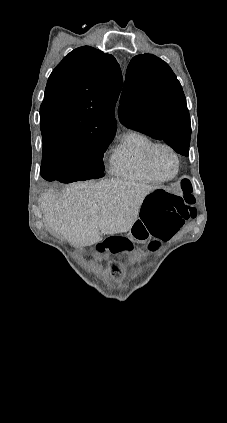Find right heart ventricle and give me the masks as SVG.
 I'll list each match as a JSON object with an SVG mask.
<instances>
[{"mask_svg":"<svg viewBox=\"0 0 227 423\" xmlns=\"http://www.w3.org/2000/svg\"><path fill=\"white\" fill-rule=\"evenodd\" d=\"M154 142L144 132L128 130L121 136L110 159V173L118 178L146 184L159 183L147 170L145 152Z\"/></svg>","mask_w":227,"mask_h":423,"instance_id":"e07e8e85","label":"right heart ventricle"}]
</instances>
